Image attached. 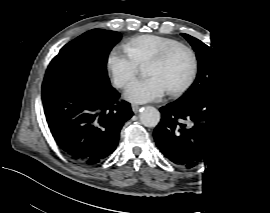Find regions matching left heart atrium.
Instances as JSON below:
<instances>
[{
  "mask_svg": "<svg viewBox=\"0 0 270 213\" xmlns=\"http://www.w3.org/2000/svg\"><path fill=\"white\" fill-rule=\"evenodd\" d=\"M163 93V86L160 80L152 77L145 81L136 82L131 85L125 92V96L133 101H153L161 97Z\"/></svg>",
  "mask_w": 270,
  "mask_h": 213,
  "instance_id": "left-heart-atrium-1",
  "label": "left heart atrium"
}]
</instances>
